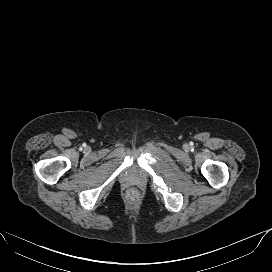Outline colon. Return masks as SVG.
<instances>
[{
  "label": "colon",
  "mask_w": 272,
  "mask_h": 272,
  "mask_svg": "<svg viewBox=\"0 0 272 272\" xmlns=\"http://www.w3.org/2000/svg\"><path fill=\"white\" fill-rule=\"evenodd\" d=\"M139 196H140V194L136 189H130L127 192V199L130 200V201L138 200Z\"/></svg>",
  "instance_id": "obj_1"
}]
</instances>
